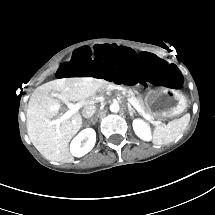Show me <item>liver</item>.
<instances>
[{"instance_id": "6515ba94", "label": "liver", "mask_w": 215, "mask_h": 215, "mask_svg": "<svg viewBox=\"0 0 215 215\" xmlns=\"http://www.w3.org/2000/svg\"><path fill=\"white\" fill-rule=\"evenodd\" d=\"M108 86L109 82L103 79L72 77L56 79L37 87L30 97L26 115L27 134L35 148L49 160L74 162L69 142L82 127V117L76 112L59 127L51 124L61 105L59 100L50 96V92H59L61 99L78 101L81 106H86L95 104L96 93Z\"/></svg>"}]
</instances>
